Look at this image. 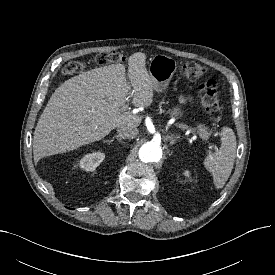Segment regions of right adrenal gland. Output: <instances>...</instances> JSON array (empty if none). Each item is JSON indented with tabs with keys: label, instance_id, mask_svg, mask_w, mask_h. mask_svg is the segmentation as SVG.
Masks as SVG:
<instances>
[{
	"label": "right adrenal gland",
	"instance_id": "2a0ac1e0",
	"mask_svg": "<svg viewBox=\"0 0 275 275\" xmlns=\"http://www.w3.org/2000/svg\"><path fill=\"white\" fill-rule=\"evenodd\" d=\"M114 139H117L120 143L125 144V142H123L122 139L120 138V136H118V135L113 136L111 141H113Z\"/></svg>",
	"mask_w": 275,
	"mask_h": 275
}]
</instances>
